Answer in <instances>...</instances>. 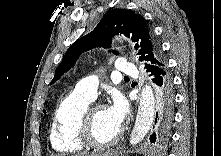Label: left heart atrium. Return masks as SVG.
Segmentation results:
<instances>
[{"label":"left heart atrium","mask_w":221,"mask_h":156,"mask_svg":"<svg viewBox=\"0 0 221 156\" xmlns=\"http://www.w3.org/2000/svg\"><path fill=\"white\" fill-rule=\"evenodd\" d=\"M127 110V104L120 96H115L112 103L106 108L109 120L118 129L121 127L126 117Z\"/></svg>","instance_id":"obj_1"}]
</instances>
